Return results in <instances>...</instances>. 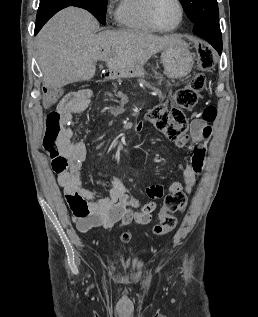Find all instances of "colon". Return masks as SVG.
Wrapping results in <instances>:
<instances>
[{
	"instance_id": "obj_1",
	"label": "colon",
	"mask_w": 258,
	"mask_h": 317,
	"mask_svg": "<svg viewBox=\"0 0 258 317\" xmlns=\"http://www.w3.org/2000/svg\"><path fill=\"white\" fill-rule=\"evenodd\" d=\"M216 57L209 48L198 50V68L201 72L212 69L215 65ZM206 79L203 73L197 74L190 84L176 93L173 105L170 107L159 104L152 107L146 114L148 121L154 128L172 140H177L184 136L187 131L188 120L185 115L186 110L194 108L198 102L199 94L204 89ZM55 96L48 99V103H53ZM216 117V109L213 106H206L202 111V118L207 122H212ZM45 135L43 146L51 153H58L67 139L68 121L66 116L57 109L52 110L46 117ZM187 206V197L183 192L170 193L164 198V203L159 213V222L154 227V233L162 236L171 232L177 223L175 213L183 212ZM123 241L129 239L128 234H124Z\"/></svg>"
}]
</instances>
